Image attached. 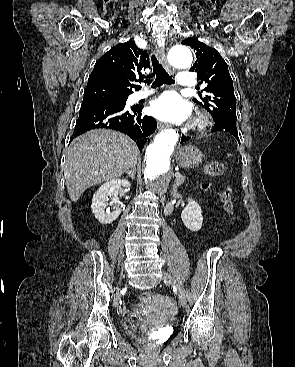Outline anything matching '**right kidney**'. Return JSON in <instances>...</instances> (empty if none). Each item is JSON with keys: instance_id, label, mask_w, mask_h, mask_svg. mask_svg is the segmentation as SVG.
<instances>
[{"instance_id": "obj_1", "label": "right kidney", "mask_w": 295, "mask_h": 367, "mask_svg": "<svg viewBox=\"0 0 295 367\" xmlns=\"http://www.w3.org/2000/svg\"><path fill=\"white\" fill-rule=\"evenodd\" d=\"M127 180L113 179L103 184L94 194L92 199V213L101 224H110L121 214V203L118 198L122 187L130 188ZM109 197L112 199V211L109 209Z\"/></svg>"}]
</instances>
